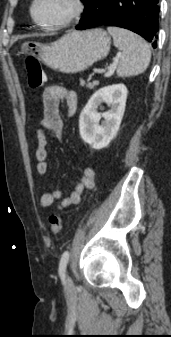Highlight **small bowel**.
Segmentation results:
<instances>
[{"label":"small bowel","instance_id":"1","mask_svg":"<svg viewBox=\"0 0 171 337\" xmlns=\"http://www.w3.org/2000/svg\"><path fill=\"white\" fill-rule=\"evenodd\" d=\"M64 103L69 116H73L78 108V97L75 91L69 90L61 85L48 86L43 93L42 119L38 123L37 129V172L45 175L48 171L46 149L48 138L59 140L62 137L63 121L60 114V105ZM48 132V135L44 131ZM96 172L92 167H86L82 176L75 184L72 192L64 196L62 191L54 190L43 193L39 199L41 208L51 206L55 201L58 202L57 208L64 209L79 203L83 192L95 186Z\"/></svg>","mask_w":171,"mask_h":337}]
</instances>
